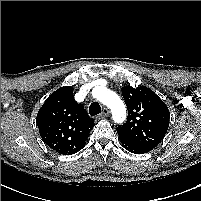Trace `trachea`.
Returning a JSON list of instances; mask_svg holds the SVG:
<instances>
[{
  "label": "trachea",
  "mask_w": 201,
  "mask_h": 201,
  "mask_svg": "<svg viewBox=\"0 0 201 201\" xmlns=\"http://www.w3.org/2000/svg\"><path fill=\"white\" fill-rule=\"evenodd\" d=\"M89 113L91 116H95L101 113V107L98 102L91 103L89 107Z\"/></svg>",
  "instance_id": "obj_1"
}]
</instances>
